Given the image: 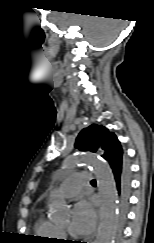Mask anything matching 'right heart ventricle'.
<instances>
[{
  "label": "right heart ventricle",
  "instance_id": "1",
  "mask_svg": "<svg viewBox=\"0 0 154 243\" xmlns=\"http://www.w3.org/2000/svg\"><path fill=\"white\" fill-rule=\"evenodd\" d=\"M35 231L40 237L49 240H58L63 236L60 227L48 219L42 212L39 214L36 221Z\"/></svg>",
  "mask_w": 154,
  "mask_h": 243
}]
</instances>
